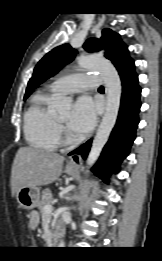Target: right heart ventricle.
<instances>
[{
  "label": "right heart ventricle",
  "instance_id": "right-heart-ventricle-1",
  "mask_svg": "<svg viewBox=\"0 0 162 261\" xmlns=\"http://www.w3.org/2000/svg\"><path fill=\"white\" fill-rule=\"evenodd\" d=\"M54 93L37 92L24 115V134L31 147L53 151L59 144L56 116L49 108Z\"/></svg>",
  "mask_w": 162,
  "mask_h": 261
}]
</instances>
